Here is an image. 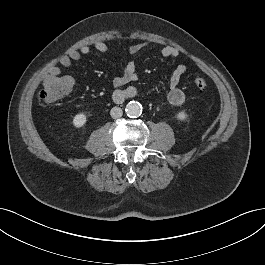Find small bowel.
I'll use <instances>...</instances> for the list:
<instances>
[{"label":"small bowel","instance_id":"obj_1","mask_svg":"<svg viewBox=\"0 0 265 265\" xmlns=\"http://www.w3.org/2000/svg\"><path fill=\"white\" fill-rule=\"evenodd\" d=\"M145 46V43H137L129 48V53L131 55L137 54ZM98 52H108L110 50L107 43L104 41H96L92 46ZM92 47L89 45H83L78 49L71 50L67 55L63 56L58 65H54L50 68L49 72L53 75H59L61 73V68H68L73 62L79 61L83 56L89 55L92 52ZM161 54L164 57L172 58L179 54V51L174 46H164L161 50ZM188 67L185 64H179L172 72L169 78L168 90L166 93V100L173 106H180L185 101V94L180 89L179 83L182 76L187 72ZM138 78L137 65L134 61H129L124 68L121 75L113 79L114 87H122L128 83L136 81ZM137 93V89L134 86H128L124 89H118L114 92V99L121 101L125 98L134 97Z\"/></svg>","mask_w":265,"mask_h":265}]
</instances>
